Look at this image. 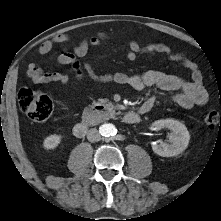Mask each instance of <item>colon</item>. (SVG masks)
I'll return each instance as SVG.
<instances>
[{
  "instance_id": "5ec220e1",
  "label": "colon",
  "mask_w": 221,
  "mask_h": 221,
  "mask_svg": "<svg viewBox=\"0 0 221 221\" xmlns=\"http://www.w3.org/2000/svg\"><path fill=\"white\" fill-rule=\"evenodd\" d=\"M18 102L21 111L34 122L46 121L52 113L53 103L46 95L22 88L18 94ZM205 122L210 127L221 125V115L217 111L207 113Z\"/></svg>"
}]
</instances>
